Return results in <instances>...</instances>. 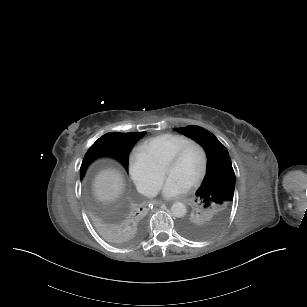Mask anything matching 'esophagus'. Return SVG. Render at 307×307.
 <instances>
[{
    "instance_id": "obj_1",
    "label": "esophagus",
    "mask_w": 307,
    "mask_h": 307,
    "mask_svg": "<svg viewBox=\"0 0 307 307\" xmlns=\"http://www.w3.org/2000/svg\"><path fill=\"white\" fill-rule=\"evenodd\" d=\"M162 204H163L162 201H159V200H156V201H155V205H162Z\"/></svg>"
}]
</instances>
